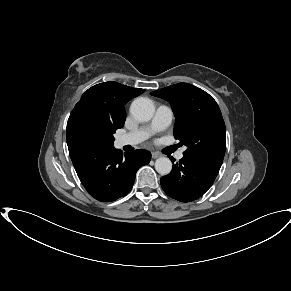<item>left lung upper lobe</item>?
<instances>
[{
	"mask_svg": "<svg viewBox=\"0 0 291 291\" xmlns=\"http://www.w3.org/2000/svg\"><path fill=\"white\" fill-rule=\"evenodd\" d=\"M151 94L171 104L176 118L174 136L187 146L184 156L222 164L226 150L225 124L219 106L207 92L188 83H178Z\"/></svg>",
	"mask_w": 291,
	"mask_h": 291,
	"instance_id": "1",
	"label": "left lung upper lobe"
}]
</instances>
